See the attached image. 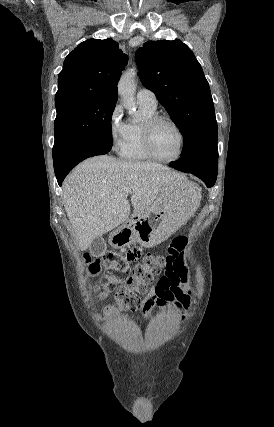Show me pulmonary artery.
Wrapping results in <instances>:
<instances>
[{
    "mask_svg": "<svg viewBox=\"0 0 274 427\" xmlns=\"http://www.w3.org/2000/svg\"><path fill=\"white\" fill-rule=\"evenodd\" d=\"M136 99H137V103L141 106V107H145L148 109H153L156 110L157 109V99L155 94L148 90V89H140L136 95Z\"/></svg>",
    "mask_w": 274,
    "mask_h": 427,
    "instance_id": "obj_1",
    "label": "pulmonary artery"
}]
</instances>
